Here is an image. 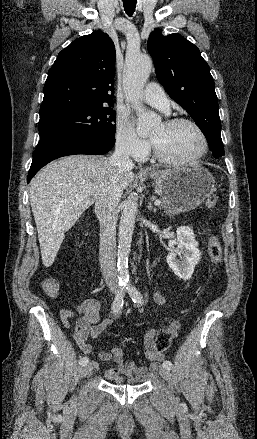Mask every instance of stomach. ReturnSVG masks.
Returning <instances> with one entry per match:
<instances>
[{"instance_id": "stomach-1", "label": "stomach", "mask_w": 257, "mask_h": 439, "mask_svg": "<svg viewBox=\"0 0 257 439\" xmlns=\"http://www.w3.org/2000/svg\"><path fill=\"white\" fill-rule=\"evenodd\" d=\"M155 191L180 212L197 208L215 189V180L203 167L153 171Z\"/></svg>"}]
</instances>
